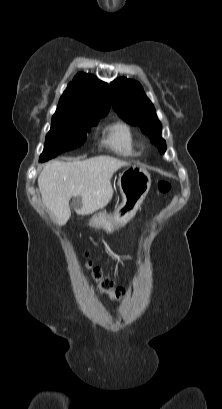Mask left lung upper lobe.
Returning <instances> with one entry per match:
<instances>
[{
    "label": "left lung upper lobe",
    "instance_id": "1",
    "mask_svg": "<svg viewBox=\"0 0 222 409\" xmlns=\"http://www.w3.org/2000/svg\"><path fill=\"white\" fill-rule=\"evenodd\" d=\"M111 91L115 111L128 123L141 126L143 133L164 153L166 145L161 138V123L141 85L134 80L119 78L111 83Z\"/></svg>",
    "mask_w": 222,
    "mask_h": 409
}]
</instances>
